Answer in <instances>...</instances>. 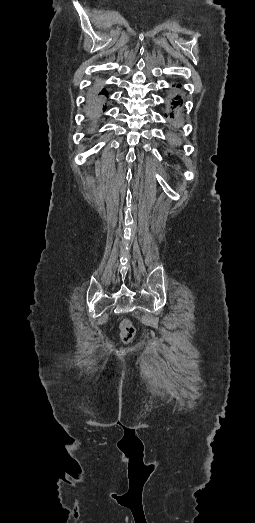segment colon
<instances>
[{
    "instance_id": "5ec220e1",
    "label": "colon",
    "mask_w": 255,
    "mask_h": 523,
    "mask_svg": "<svg viewBox=\"0 0 255 523\" xmlns=\"http://www.w3.org/2000/svg\"><path fill=\"white\" fill-rule=\"evenodd\" d=\"M135 335V327L129 319H124L120 324V337L125 343L130 342Z\"/></svg>"
}]
</instances>
